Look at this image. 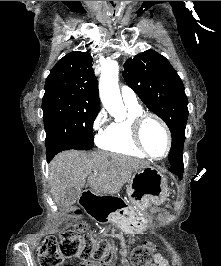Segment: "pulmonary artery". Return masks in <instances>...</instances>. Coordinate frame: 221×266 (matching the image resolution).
Wrapping results in <instances>:
<instances>
[{"label":"pulmonary artery","instance_id":"e3ab8cb5","mask_svg":"<svg viewBox=\"0 0 221 266\" xmlns=\"http://www.w3.org/2000/svg\"><path fill=\"white\" fill-rule=\"evenodd\" d=\"M121 96L127 107L138 108L139 102L135 92L128 86H122Z\"/></svg>","mask_w":221,"mask_h":266}]
</instances>
